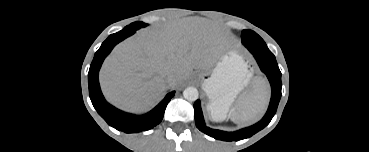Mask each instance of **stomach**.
I'll return each instance as SVG.
<instances>
[{
    "label": "stomach",
    "instance_id": "obj_1",
    "mask_svg": "<svg viewBox=\"0 0 369 152\" xmlns=\"http://www.w3.org/2000/svg\"><path fill=\"white\" fill-rule=\"evenodd\" d=\"M250 77L248 65L240 55L230 52L221 58L202 83V89L210 100L207 108L214 120L226 118L234 99L248 84Z\"/></svg>",
    "mask_w": 369,
    "mask_h": 152
}]
</instances>
